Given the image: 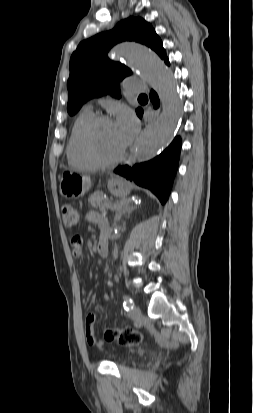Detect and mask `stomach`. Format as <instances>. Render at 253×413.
Masks as SVG:
<instances>
[{
    "label": "stomach",
    "mask_w": 253,
    "mask_h": 413,
    "mask_svg": "<svg viewBox=\"0 0 253 413\" xmlns=\"http://www.w3.org/2000/svg\"><path fill=\"white\" fill-rule=\"evenodd\" d=\"M91 187V180L88 176L65 171L60 178V193L67 198L82 197ZM108 189L112 195L124 198L130 193L129 185L120 178H113L108 182Z\"/></svg>",
    "instance_id": "1"
}]
</instances>
